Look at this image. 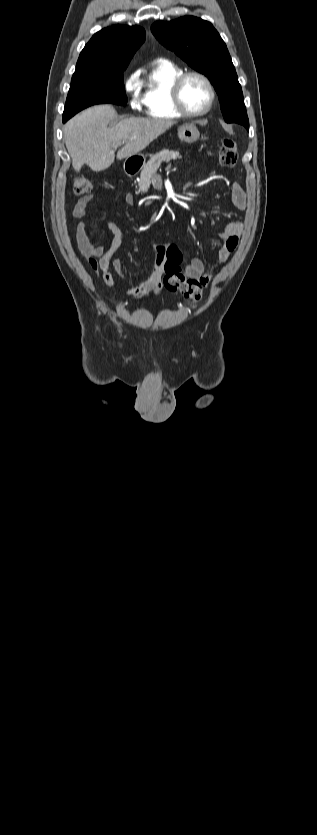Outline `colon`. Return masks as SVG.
I'll use <instances>...</instances> for the list:
<instances>
[{
  "instance_id": "5ec220e1",
  "label": "colon",
  "mask_w": 317,
  "mask_h": 835,
  "mask_svg": "<svg viewBox=\"0 0 317 835\" xmlns=\"http://www.w3.org/2000/svg\"><path fill=\"white\" fill-rule=\"evenodd\" d=\"M218 161L222 166L232 167L237 161V145L232 138H224L218 152ZM94 190L93 183L86 177H78L73 184L75 195H88ZM162 285L168 291L179 292L188 305H195L200 301L202 286L199 281L187 277L180 263L168 259L162 267Z\"/></svg>"
}]
</instances>
